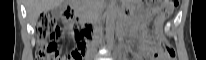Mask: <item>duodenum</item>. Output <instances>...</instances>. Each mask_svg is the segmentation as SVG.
I'll list each match as a JSON object with an SVG mask.
<instances>
[{
  "mask_svg": "<svg viewBox=\"0 0 206 60\" xmlns=\"http://www.w3.org/2000/svg\"><path fill=\"white\" fill-rule=\"evenodd\" d=\"M64 17L67 21L74 23V28H83L84 33L88 36L95 33L94 27L89 22H84L83 19H79L76 9V4L74 2H70L65 6L64 9ZM118 30H115V33L122 35L123 30H125V25H118Z\"/></svg>",
  "mask_w": 206,
  "mask_h": 60,
  "instance_id": "obj_1",
  "label": "duodenum"
}]
</instances>
